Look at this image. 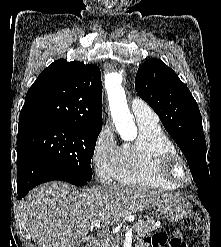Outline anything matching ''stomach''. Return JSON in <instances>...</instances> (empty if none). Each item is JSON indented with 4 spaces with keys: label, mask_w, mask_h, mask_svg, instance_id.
<instances>
[{
    "label": "stomach",
    "mask_w": 221,
    "mask_h": 247,
    "mask_svg": "<svg viewBox=\"0 0 221 247\" xmlns=\"http://www.w3.org/2000/svg\"><path fill=\"white\" fill-rule=\"evenodd\" d=\"M191 206L182 197H174L159 205L158 217L170 222H177L190 212Z\"/></svg>",
    "instance_id": "obj_1"
}]
</instances>
